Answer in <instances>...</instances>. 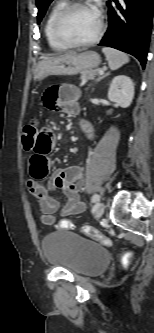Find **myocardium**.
Returning a JSON list of instances; mask_svg holds the SVG:
<instances>
[{"mask_svg":"<svg viewBox=\"0 0 154 333\" xmlns=\"http://www.w3.org/2000/svg\"><path fill=\"white\" fill-rule=\"evenodd\" d=\"M85 6L91 7L90 4H88L84 1H81V0L70 1L62 7V9L58 12V14L55 17V20L53 23L54 35L59 42H61L62 44H64L65 46H67L69 48L91 46V45L95 44L96 42H98L104 33L105 25H104L103 14L99 10H96L97 14H98L99 22H98L97 32L95 33V35L92 38L85 40V41H73L64 34V32L62 30V25H63V22H64L65 18L67 17V15L73 9L78 8V7H85Z\"/></svg>","mask_w":154,"mask_h":333,"instance_id":"1","label":"myocardium"}]
</instances>
